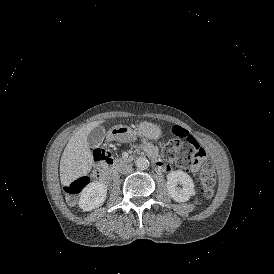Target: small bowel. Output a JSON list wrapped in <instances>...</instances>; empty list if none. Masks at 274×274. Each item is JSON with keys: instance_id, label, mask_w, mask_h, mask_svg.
Instances as JSON below:
<instances>
[{"instance_id": "c3829d8e", "label": "small bowel", "mask_w": 274, "mask_h": 274, "mask_svg": "<svg viewBox=\"0 0 274 274\" xmlns=\"http://www.w3.org/2000/svg\"><path fill=\"white\" fill-rule=\"evenodd\" d=\"M144 147L145 149H147V151L149 152L150 155H154L155 154V148L148 142H144ZM106 172L102 171V172H98L95 175V178L97 179L98 177L102 176L103 174H105Z\"/></svg>"}]
</instances>
